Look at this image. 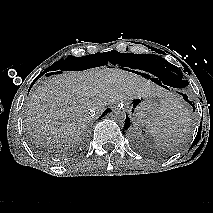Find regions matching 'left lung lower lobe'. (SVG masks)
<instances>
[{"label": "left lung lower lobe", "mask_w": 213, "mask_h": 213, "mask_svg": "<svg viewBox=\"0 0 213 213\" xmlns=\"http://www.w3.org/2000/svg\"><path fill=\"white\" fill-rule=\"evenodd\" d=\"M151 74L154 75L153 78H151V80L155 83H157L158 85L160 86H163L164 88L168 89V87H174L175 88V84L166 76L164 75H161V74H157V73H154V72H150ZM143 76H145L146 78H150V75H146V74H143L141 73ZM180 95L183 96L184 100H186L188 103H190L191 105L192 102L188 100V96L179 92ZM193 108H194V105H193ZM195 110V109H194ZM130 125V119L129 117L126 115V120H125V126H124V129H127Z\"/></svg>", "instance_id": "1"}]
</instances>
